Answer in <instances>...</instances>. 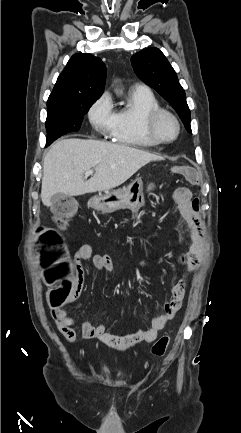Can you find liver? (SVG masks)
<instances>
[{
    "instance_id": "6515ba94",
    "label": "liver",
    "mask_w": 241,
    "mask_h": 433,
    "mask_svg": "<svg viewBox=\"0 0 241 433\" xmlns=\"http://www.w3.org/2000/svg\"><path fill=\"white\" fill-rule=\"evenodd\" d=\"M162 157L132 147L85 139L54 143L44 157L41 200L50 206L56 193L78 196L108 191L135 174L141 167ZM95 174L84 181V173Z\"/></svg>"
}]
</instances>
